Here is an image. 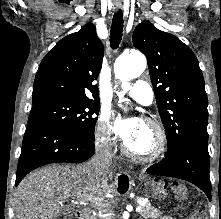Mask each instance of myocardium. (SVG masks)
<instances>
[{
	"mask_svg": "<svg viewBox=\"0 0 221 219\" xmlns=\"http://www.w3.org/2000/svg\"><path fill=\"white\" fill-rule=\"evenodd\" d=\"M142 122L145 126L149 127L155 133L156 143L154 149L148 154H139L132 151L124 141L121 146L122 152L126 156L134 160H138L141 162H154L160 159L167 150V135L162 125L157 121L150 118H144Z\"/></svg>",
	"mask_w": 221,
	"mask_h": 219,
	"instance_id": "myocardium-1",
	"label": "myocardium"
}]
</instances>
